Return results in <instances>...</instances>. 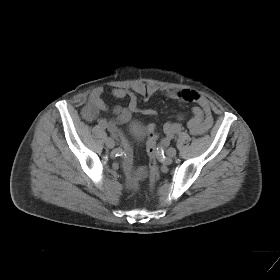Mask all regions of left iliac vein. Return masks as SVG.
Listing matches in <instances>:
<instances>
[{
  "instance_id": "obj_1",
  "label": "left iliac vein",
  "mask_w": 280,
  "mask_h": 280,
  "mask_svg": "<svg viewBox=\"0 0 280 280\" xmlns=\"http://www.w3.org/2000/svg\"><path fill=\"white\" fill-rule=\"evenodd\" d=\"M166 155L169 157V158H173L175 157L176 155V149L173 148V147H170L166 150Z\"/></svg>"
}]
</instances>
